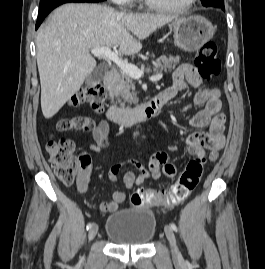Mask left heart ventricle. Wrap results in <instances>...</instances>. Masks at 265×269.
I'll return each instance as SVG.
<instances>
[{
	"label": "left heart ventricle",
	"instance_id": "b2bd125f",
	"mask_svg": "<svg viewBox=\"0 0 265 269\" xmlns=\"http://www.w3.org/2000/svg\"><path fill=\"white\" fill-rule=\"evenodd\" d=\"M155 1L167 5H182L189 0H155Z\"/></svg>",
	"mask_w": 265,
	"mask_h": 269
}]
</instances>
